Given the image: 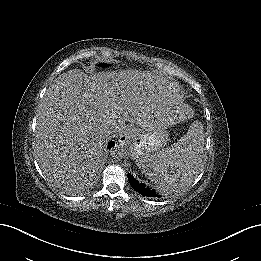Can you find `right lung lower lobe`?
<instances>
[{
    "instance_id": "right-lung-lower-lobe-1",
    "label": "right lung lower lobe",
    "mask_w": 261,
    "mask_h": 261,
    "mask_svg": "<svg viewBox=\"0 0 261 261\" xmlns=\"http://www.w3.org/2000/svg\"><path fill=\"white\" fill-rule=\"evenodd\" d=\"M115 145V142H110L109 145H108V148H111Z\"/></svg>"
}]
</instances>
